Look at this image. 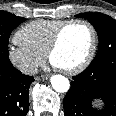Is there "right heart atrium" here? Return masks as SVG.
Here are the masks:
<instances>
[{
  "instance_id": "right-heart-atrium-1",
  "label": "right heart atrium",
  "mask_w": 116,
  "mask_h": 116,
  "mask_svg": "<svg viewBox=\"0 0 116 116\" xmlns=\"http://www.w3.org/2000/svg\"><path fill=\"white\" fill-rule=\"evenodd\" d=\"M7 59L21 73L33 75L43 63L44 55L32 51L15 37L7 49Z\"/></svg>"
}]
</instances>
